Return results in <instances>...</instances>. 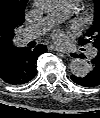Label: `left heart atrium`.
<instances>
[{
	"label": "left heart atrium",
	"mask_w": 100,
	"mask_h": 118,
	"mask_svg": "<svg viewBox=\"0 0 100 118\" xmlns=\"http://www.w3.org/2000/svg\"><path fill=\"white\" fill-rule=\"evenodd\" d=\"M51 35L52 38L56 41H63L66 38L65 33L59 29L54 30Z\"/></svg>",
	"instance_id": "left-heart-atrium-1"
}]
</instances>
